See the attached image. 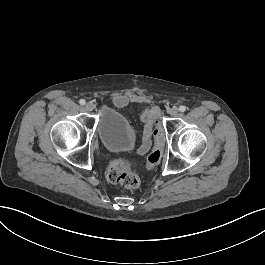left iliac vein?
I'll list each match as a JSON object with an SVG mask.
<instances>
[{"mask_svg":"<svg viewBox=\"0 0 265 265\" xmlns=\"http://www.w3.org/2000/svg\"><path fill=\"white\" fill-rule=\"evenodd\" d=\"M169 114L171 116H177L178 115V108L177 107H172L170 110H169Z\"/></svg>","mask_w":265,"mask_h":265,"instance_id":"1","label":"left iliac vein"}]
</instances>
